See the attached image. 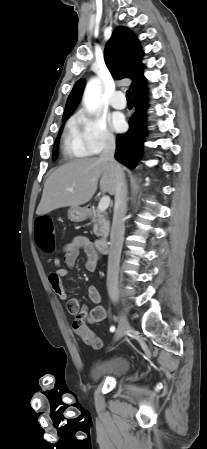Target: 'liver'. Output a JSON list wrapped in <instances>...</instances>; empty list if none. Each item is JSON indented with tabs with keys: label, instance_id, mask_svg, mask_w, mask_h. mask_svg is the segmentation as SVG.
<instances>
[{
	"label": "liver",
	"instance_id": "obj_1",
	"mask_svg": "<svg viewBox=\"0 0 207 449\" xmlns=\"http://www.w3.org/2000/svg\"><path fill=\"white\" fill-rule=\"evenodd\" d=\"M100 178L103 193L115 194L114 168L100 158H84L58 167L45 182L36 214L44 215L66 206H80L95 194Z\"/></svg>",
	"mask_w": 207,
	"mask_h": 449
}]
</instances>
